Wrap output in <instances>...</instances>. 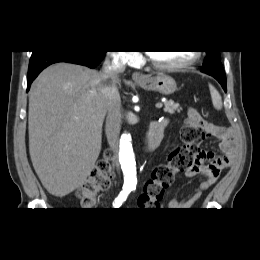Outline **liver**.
Masks as SVG:
<instances>
[{"instance_id":"6515ba94","label":"liver","mask_w":260,"mask_h":260,"mask_svg":"<svg viewBox=\"0 0 260 260\" xmlns=\"http://www.w3.org/2000/svg\"><path fill=\"white\" fill-rule=\"evenodd\" d=\"M101 72L57 63L43 70L29 96V153L47 191L63 197L90 175L102 144L107 108Z\"/></svg>"}]
</instances>
